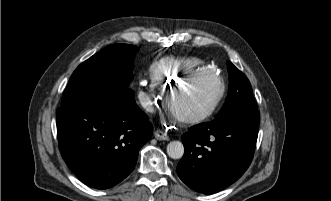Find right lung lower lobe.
Here are the masks:
<instances>
[{
	"label": "right lung lower lobe",
	"mask_w": 331,
	"mask_h": 201,
	"mask_svg": "<svg viewBox=\"0 0 331 201\" xmlns=\"http://www.w3.org/2000/svg\"><path fill=\"white\" fill-rule=\"evenodd\" d=\"M61 155L85 184L107 189L134 169L153 127L129 89L97 94L57 112Z\"/></svg>",
	"instance_id": "obj_1"
}]
</instances>
